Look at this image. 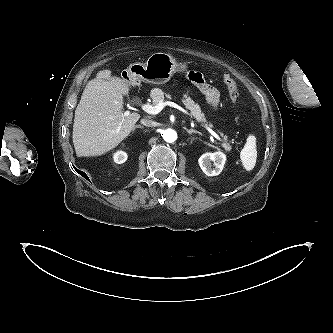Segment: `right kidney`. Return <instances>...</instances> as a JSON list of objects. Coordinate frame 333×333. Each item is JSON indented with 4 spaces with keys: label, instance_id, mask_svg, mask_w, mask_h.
I'll use <instances>...</instances> for the list:
<instances>
[{
    "label": "right kidney",
    "instance_id": "right-kidney-1",
    "mask_svg": "<svg viewBox=\"0 0 333 333\" xmlns=\"http://www.w3.org/2000/svg\"><path fill=\"white\" fill-rule=\"evenodd\" d=\"M113 160L117 164H122L127 160V153L124 151H117L113 153Z\"/></svg>",
    "mask_w": 333,
    "mask_h": 333
}]
</instances>
